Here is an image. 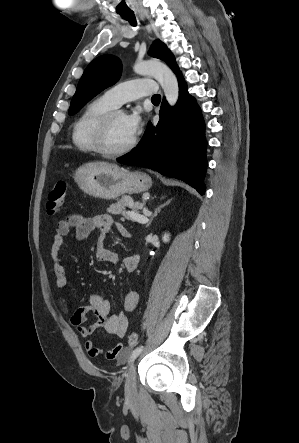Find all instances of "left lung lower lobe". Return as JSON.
<instances>
[{"label": "left lung lower lobe", "mask_w": 299, "mask_h": 443, "mask_svg": "<svg viewBox=\"0 0 299 443\" xmlns=\"http://www.w3.org/2000/svg\"><path fill=\"white\" fill-rule=\"evenodd\" d=\"M179 99L171 108L164 99L157 126L148 124L141 141L117 162L149 168L185 181L201 195L207 167L204 122L195 99L188 94L181 72H177Z\"/></svg>", "instance_id": "0a47b994"}]
</instances>
